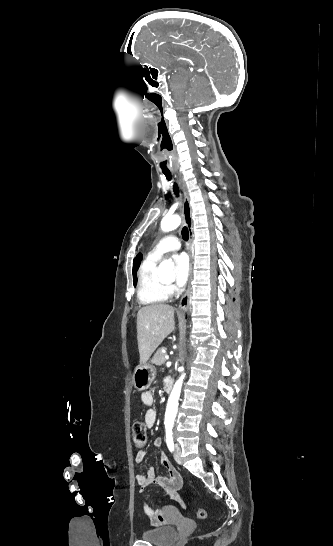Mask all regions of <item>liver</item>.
I'll list each match as a JSON object with an SVG mask.
<instances>
[{
	"mask_svg": "<svg viewBox=\"0 0 333 546\" xmlns=\"http://www.w3.org/2000/svg\"><path fill=\"white\" fill-rule=\"evenodd\" d=\"M175 329L174 308L165 304L142 307L137 313V341L140 363L150 356Z\"/></svg>",
	"mask_w": 333,
	"mask_h": 546,
	"instance_id": "liver-1",
	"label": "liver"
}]
</instances>
